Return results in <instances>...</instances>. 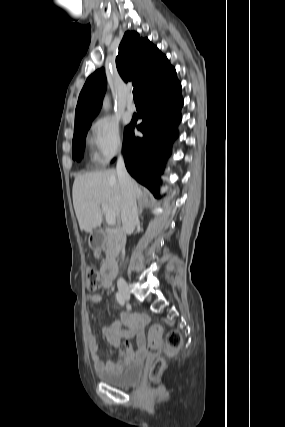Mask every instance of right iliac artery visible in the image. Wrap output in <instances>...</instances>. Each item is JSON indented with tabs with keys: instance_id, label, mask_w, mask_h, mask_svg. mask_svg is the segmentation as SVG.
I'll return each instance as SVG.
<instances>
[{
	"instance_id": "obj_1",
	"label": "right iliac artery",
	"mask_w": 285,
	"mask_h": 427,
	"mask_svg": "<svg viewBox=\"0 0 285 427\" xmlns=\"http://www.w3.org/2000/svg\"><path fill=\"white\" fill-rule=\"evenodd\" d=\"M116 299H117L118 303H119L121 306H123V305H124V299H123V297L121 296V294H120V293H116Z\"/></svg>"
}]
</instances>
